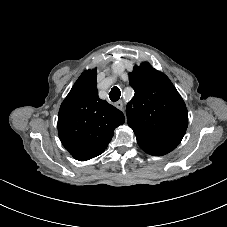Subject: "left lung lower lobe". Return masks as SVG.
I'll return each mask as SVG.
<instances>
[{
    "label": "left lung lower lobe",
    "instance_id": "0a47b994",
    "mask_svg": "<svg viewBox=\"0 0 227 227\" xmlns=\"http://www.w3.org/2000/svg\"><path fill=\"white\" fill-rule=\"evenodd\" d=\"M138 145L148 154L161 156L174 150L177 145L165 140L146 129H133Z\"/></svg>",
    "mask_w": 227,
    "mask_h": 227
}]
</instances>
